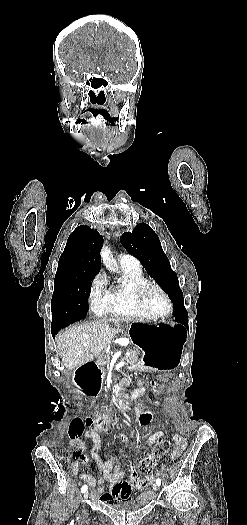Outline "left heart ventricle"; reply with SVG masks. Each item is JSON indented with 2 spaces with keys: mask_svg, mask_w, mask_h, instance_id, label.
<instances>
[{
  "mask_svg": "<svg viewBox=\"0 0 247 525\" xmlns=\"http://www.w3.org/2000/svg\"><path fill=\"white\" fill-rule=\"evenodd\" d=\"M142 301L146 308L154 313H161L167 307L163 294L153 286H148L143 290Z\"/></svg>",
  "mask_w": 247,
  "mask_h": 525,
  "instance_id": "b2bd125f",
  "label": "left heart ventricle"
}]
</instances>
